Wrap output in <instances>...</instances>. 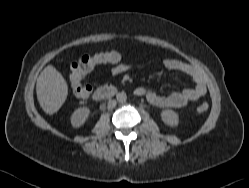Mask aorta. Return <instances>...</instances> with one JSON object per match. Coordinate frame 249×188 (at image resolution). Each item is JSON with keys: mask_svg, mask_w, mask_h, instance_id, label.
Returning a JSON list of instances; mask_svg holds the SVG:
<instances>
[{"mask_svg": "<svg viewBox=\"0 0 249 188\" xmlns=\"http://www.w3.org/2000/svg\"><path fill=\"white\" fill-rule=\"evenodd\" d=\"M116 99L119 103H124L127 100V95L125 92H119L116 94Z\"/></svg>", "mask_w": 249, "mask_h": 188, "instance_id": "aorta-1", "label": "aorta"}]
</instances>
